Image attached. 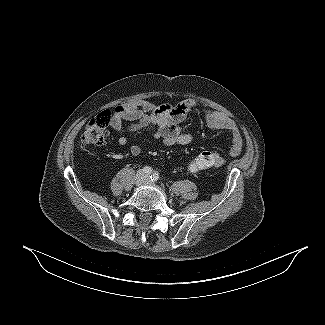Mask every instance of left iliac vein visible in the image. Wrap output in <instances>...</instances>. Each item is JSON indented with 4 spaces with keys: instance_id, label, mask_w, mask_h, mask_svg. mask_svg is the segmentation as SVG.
<instances>
[{
    "instance_id": "obj_1",
    "label": "left iliac vein",
    "mask_w": 325,
    "mask_h": 325,
    "mask_svg": "<svg viewBox=\"0 0 325 325\" xmlns=\"http://www.w3.org/2000/svg\"><path fill=\"white\" fill-rule=\"evenodd\" d=\"M149 182V177L146 176V180H145V183H148Z\"/></svg>"
}]
</instances>
